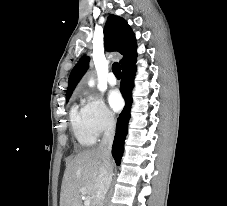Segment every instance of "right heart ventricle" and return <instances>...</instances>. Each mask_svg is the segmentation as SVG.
Returning <instances> with one entry per match:
<instances>
[{
	"instance_id": "1",
	"label": "right heart ventricle",
	"mask_w": 227,
	"mask_h": 206,
	"mask_svg": "<svg viewBox=\"0 0 227 206\" xmlns=\"http://www.w3.org/2000/svg\"><path fill=\"white\" fill-rule=\"evenodd\" d=\"M70 119L74 135L82 146H90L95 142L96 137L89 130L82 109L73 106L70 112Z\"/></svg>"
}]
</instances>
